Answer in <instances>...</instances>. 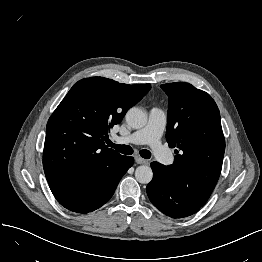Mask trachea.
Masks as SVG:
<instances>
[{
  "instance_id": "obj_1",
  "label": "trachea",
  "mask_w": 262,
  "mask_h": 262,
  "mask_svg": "<svg viewBox=\"0 0 262 262\" xmlns=\"http://www.w3.org/2000/svg\"><path fill=\"white\" fill-rule=\"evenodd\" d=\"M107 144L122 154L131 155L133 153V149L129 145H118L112 143L111 141H108ZM140 155L145 159H149L151 157V152L143 149L140 151Z\"/></svg>"
}]
</instances>
